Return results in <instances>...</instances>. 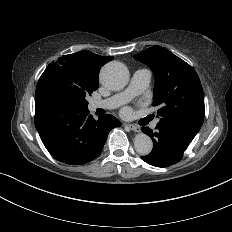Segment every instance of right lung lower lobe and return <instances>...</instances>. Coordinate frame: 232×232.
Wrapping results in <instances>:
<instances>
[{
    "label": "right lung lower lobe",
    "instance_id": "1",
    "mask_svg": "<svg viewBox=\"0 0 232 232\" xmlns=\"http://www.w3.org/2000/svg\"><path fill=\"white\" fill-rule=\"evenodd\" d=\"M35 126L44 146L55 159L81 165L101 153L109 132L121 123L109 114L95 120L88 109L39 96L35 97Z\"/></svg>",
    "mask_w": 232,
    "mask_h": 232
}]
</instances>
